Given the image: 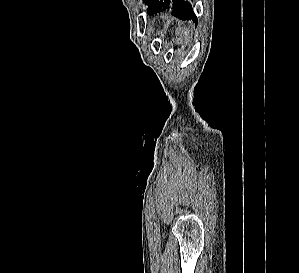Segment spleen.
Listing matches in <instances>:
<instances>
[{"mask_svg": "<svg viewBox=\"0 0 299 273\" xmlns=\"http://www.w3.org/2000/svg\"><path fill=\"white\" fill-rule=\"evenodd\" d=\"M176 33V43L181 44L184 39H186L189 35V30L185 27H179L175 31Z\"/></svg>", "mask_w": 299, "mask_h": 273, "instance_id": "1", "label": "spleen"}]
</instances>
